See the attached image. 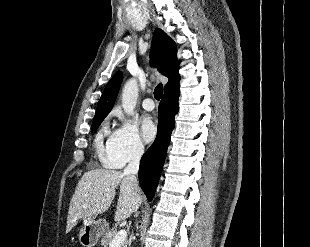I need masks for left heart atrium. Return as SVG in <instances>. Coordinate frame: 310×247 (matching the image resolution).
Masks as SVG:
<instances>
[{
    "instance_id": "obj_1",
    "label": "left heart atrium",
    "mask_w": 310,
    "mask_h": 247,
    "mask_svg": "<svg viewBox=\"0 0 310 247\" xmlns=\"http://www.w3.org/2000/svg\"><path fill=\"white\" fill-rule=\"evenodd\" d=\"M142 135L147 142L152 141L156 136V127L149 118H145L142 122Z\"/></svg>"
}]
</instances>
